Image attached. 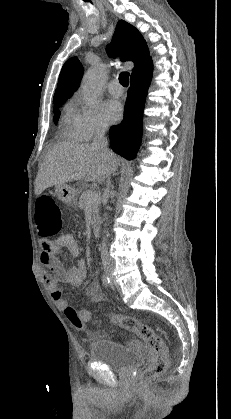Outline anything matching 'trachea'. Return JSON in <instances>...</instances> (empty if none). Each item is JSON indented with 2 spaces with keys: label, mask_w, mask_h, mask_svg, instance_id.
<instances>
[{
  "label": "trachea",
  "mask_w": 231,
  "mask_h": 419,
  "mask_svg": "<svg viewBox=\"0 0 231 419\" xmlns=\"http://www.w3.org/2000/svg\"><path fill=\"white\" fill-rule=\"evenodd\" d=\"M119 82L127 87L129 84V73L128 72H121L119 75Z\"/></svg>",
  "instance_id": "3493384b"
}]
</instances>
